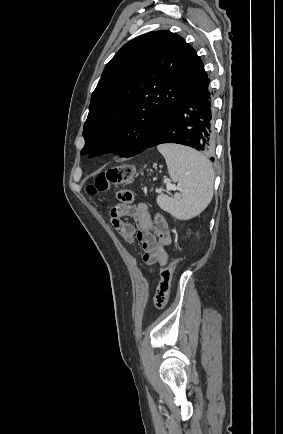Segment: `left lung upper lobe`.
I'll return each instance as SVG.
<instances>
[{
	"instance_id": "obj_1",
	"label": "left lung upper lobe",
	"mask_w": 283,
	"mask_h": 434,
	"mask_svg": "<svg viewBox=\"0 0 283 434\" xmlns=\"http://www.w3.org/2000/svg\"><path fill=\"white\" fill-rule=\"evenodd\" d=\"M206 76L194 48L175 33L154 31L129 41L92 93L81 154L141 153L181 96Z\"/></svg>"
}]
</instances>
